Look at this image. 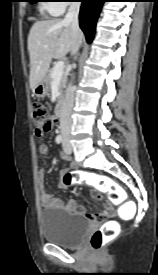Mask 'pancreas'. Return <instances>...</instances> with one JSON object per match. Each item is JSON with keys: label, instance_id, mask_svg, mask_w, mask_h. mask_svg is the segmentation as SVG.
Instances as JSON below:
<instances>
[{"label": "pancreas", "instance_id": "pancreas-1", "mask_svg": "<svg viewBox=\"0 0 158 275\" xmlns=\"http://www.w3.org/2000/svg\"><path fill=\"white\" fill-rule=\"evenodd\" d=\"M52 73H53V68L50 69V70L48 71V75H47L49 88H50L51 83H52V81H53ZM66 81H67L66 75H62L61 78H60V85H59V91H60L61 94L63 93V89H64L65 86H66ZM61 97H62V96H60L59 99H60Z\"/></svg>", "mask_w": 158, "mask_h": 275}]
</instances>
